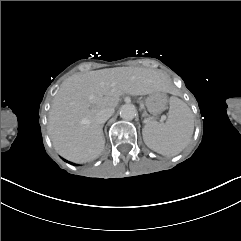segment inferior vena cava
I'll return each mask as SVG.
<instances>
[{"label": "inferior vena cava", "mask_w": 241, "mask_h": 241, "mask_svg": "<svg viewBox=\"0 0 241 241\" xmlns=\"http://www.w3.org/2000/svg\"><path fill=\"white\" fill-rule=\"evenodd\" d=\"M113 113L114 110L111 109H104L100 111L95 117L96 123L99 125L104 124L113 115Z\"/></svg>", "instance_id": "1"}]
</instances>
